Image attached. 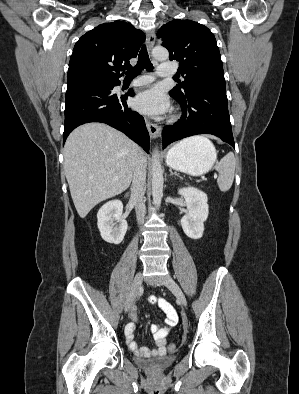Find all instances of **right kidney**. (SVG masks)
Segmentation results:
<instances>
[{"mask_svg": "<svg viewBox=\"0 0 299 394\" xmlns=\"http://www.w3.org/2000/svg\"><path fill=\"white\" fill-rule=\"evenodd\" d=\"M122 211L123 204L120 200L108 201L99 209L97 226L105 242L118 245L123 241L128 225L122 219Z\"/></svg>", "mask_w": 299, "mask_h": 394, "instance_id": "right-kidney-1", "label": "right kidney"}]
</instances>
